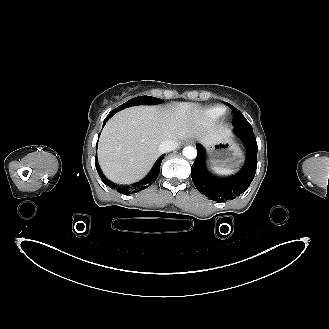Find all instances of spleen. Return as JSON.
<instances>
[{"mask_svg":"<svg viewBox=\"0 0 329 329\" xmlns=\"http://www.w3.org/2000/svg\"><path fill=\"white\" fill-rule=\"evenodd\" d=\"M235 170H218V169H213V173L217 174L218 176H229L233 174Z\"/></svg>","mask_w":329,"mask_h":329,"instance_id":"1","label":"spleen"}]
</instances>
